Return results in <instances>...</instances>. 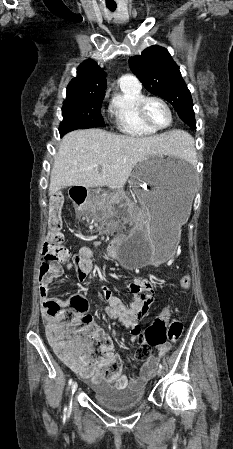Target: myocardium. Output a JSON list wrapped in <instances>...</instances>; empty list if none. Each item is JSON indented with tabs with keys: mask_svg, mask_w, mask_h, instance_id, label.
Segmentation results:
<instances>
[{
	"mask_svg": "<svg viewBox=\"0 0 233 449\" xmlns=\"http://www.w3.org/2000/svg\"><path fill=\"white\" fill-rule=\"evenodd\" d=\"M150 101H158L159 103H161L166 108V110H167V112L169 114V121H168V123L165 126L157 127V126L153 125L149 121V119L147 118V116H146V105ZM137 113H138V117H139L140 121L147 128H149L150 130L155 131V132L161 131V130H164V129L170 127L172 122H173V112H172V109H171L170 105L163 98H161L159 96H145V97H143L140 100L139 104H138Z\"/></svg>",
	"mask_w": 233,
	"mask_h": 449,
	"instance_id": "1",
	"label": "myocardium"
}]
</instances>
